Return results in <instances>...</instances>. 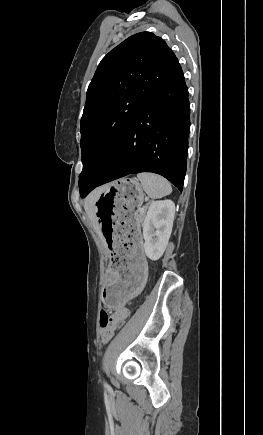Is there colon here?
<instances>
[{
	"mask_svg": "<svg viewBox=\"0 0 263 435\" xmlns=\"http://www.w3.org/2000/svg\"><path fill=\"white\" fill-rule=\"evenodd\" d=\"M105 321H114V319L112 318V316L110 315V312L108 310L102 309L100 312L101 336H102L103 340L107 341L112 337L114 330H105V328H104ZM124 324L125 323L123 321L116 322L115 329H118V328L124 329Z\"/></svg>",
	"mask_w": 263,
	"mask_h": 435,
	"instance_id": "5ec220e1",
	"label": "colon"
}]
</instances>
